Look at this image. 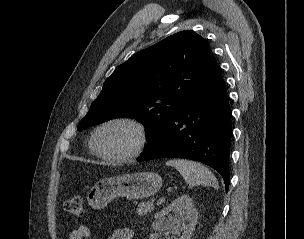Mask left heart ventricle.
Wrapping results in <instances>:
<instances>
[{
    "instance_id": "left-heart-ventricle-1",
    "label": "left heart ventricle",
    "mask_w": 304,
    "mask_h": 239,
    "mask_svg": "<svg viewBox=\"0 0 304 239\" xmlns=\"http://www.w3.org/2000/svg\"><path fill=\"white\" fill-rule=\"evenodd\" d=\"M136 143L135 130L124 124H114L103 128L97 136L98 147L107 154H122Z\"/></svg>"
}]
</instances>
